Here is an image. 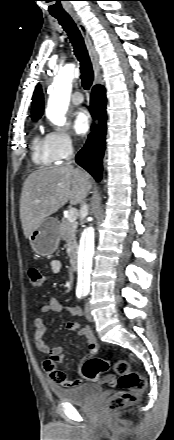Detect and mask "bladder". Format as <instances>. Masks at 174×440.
Wrapping results in <instances>:
<instances>
[{"mask_svg":"<svg viewBox=\"0 0 174 440\" xmlns=\"http://www.w3.org/2000/svg\"><path fill=\"white\" fill-rule=\"evenodd\" d=\"M53 392L60 401L88 404L101 394L102 388L99 385L85 383L69 388L55 387Z\"/></svg>","mask_w":174,"mask_h":440,"instance_id":"bladder-1","label":"bladder"}]
</instances>
